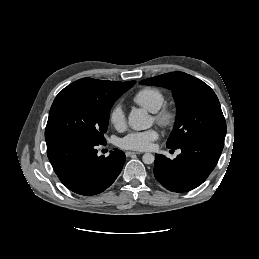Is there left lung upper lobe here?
I'll list each match as a JSON object with an SVG mask.
<instances>
[{
	"label": "left lung upper lobe",
	"instance_id": "left-lung-upper-lobe-1",
	"mask_svg": "<svg viewBox=\"0 0 259 259\" xmlns=\"http://www.w3.org/2000/svg\"><path fill=\"white\" fill-rule=\"evenodd\" d=\"M172 90L177 118L167 147L177 149L199 137L225 139L226 122L214 91L203 81L183 72H171L140 81Z\"/></svg>",
	"mask_w": 259,
	"mask_h": 259
}]
</instances>
